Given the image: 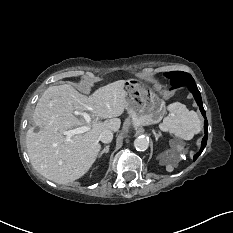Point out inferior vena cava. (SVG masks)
<instances>
[{
  "label": "inferior vena cava",
  "mask_w": 233,
  "mask_h": 233,
  "mask_svg": "<svg viewBox=\"0 0 233 233\" xmlns=\"http://www.w3.org/2000/svg\"><path fill=\"white\" fill-rule=\"evenodd\" d=\"M113 139V132L110 130H104L99 135V140L103 143H109Z\"/></svg>",
  "instance_id": "inferior-vena-cava-1"
}]
</instances>
